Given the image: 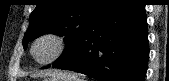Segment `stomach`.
Here are the masks:
<instances>
[{
  "label": "stomach",
  "mask_w": 169,
  "mask_h": 81,
  "mask_svg": "<svg viewBox=\"0 0 169 81\" xmlns=\"http://www.w3.org/2000/svg\"><path fill=\"white\" fill-rule=\"evenodd\" d=\"M44 81H70L68 78L63 76H49L44 78Z\"/></svg>",
  "instance_id": "obj_1"
}]
</instances>
